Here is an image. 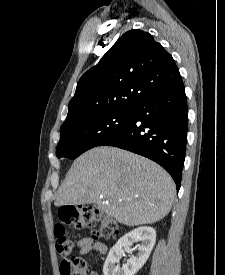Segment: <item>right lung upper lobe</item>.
I'll use <instances>...</instances> for the list:
<instances>
[{
  "label": "right lung upper lobe",
  "instance_id": "obj_1",
  "mask_svg": "<svg viewBox=\"0 0 225 275\" xmlns=\"http://www.w3.org/2000/svg\"><path fill=\"white\" fill-rule=\"evenodd\" d=\"M181 82L172 56L151 34L132 29L80 78L62 126L102 112L131 110Z\"/></svg>",
  "mask_w": 225,
  "mask_h": 275
}]
</instances>
